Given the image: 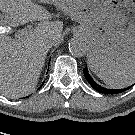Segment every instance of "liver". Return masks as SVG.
<instances>
[{"label": "liver", "mask_w": 135, "mask_h": 135, "mask_svg": "<svg viewBox=\"0 0 135 135\" xmlns=\"http://www.w3.org/2000/svg\"><path fill=\"white\" fill-rule=\"evenodd\" d=\"M32 1L0 0L4 26L40 21L22 38H13L0 30V93L12 99L35 90L52 46L49 41L58 44L62 36L63 23L53 20L52 14Z\"/></svg>", "instance_id": "1"}]
</instances>
